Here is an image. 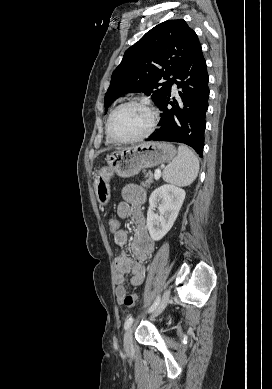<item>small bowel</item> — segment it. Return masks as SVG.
Returning a JSON list of instances; mask_svg holds the SVG:
<instances>
[{
    "label": "small bowel",
    "mask_w": 272,
    "mask_h": 389,
    "mask_svg": "<svg viewBox=\"0 0 272 389\" xmlns=\"http://www.w3.org/2000/svg\"><path fill=\"white\" fill-rule=\"evenodd\" d=\"M123 201L117 206V214L120 218H129L134 226V237L130 246L134 258L123 252L115 259V295L117 302L123 304L127 295L125 278L130 275V284L140 286L145 279L146 262L154 251V241L150 237L145 219L141 212V206L146 200V191L138 185H128L122 190ZM115 242L124 246L128 243L127 232L120 229L114 234Z\"/></svg>",
    "instance_id": "c3829d8e"
}]
</instances>
